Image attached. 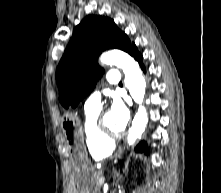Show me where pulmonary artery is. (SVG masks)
I'll return each mask as SVG.
<instances>
[{
	"label": "pulmonary artery",
	"instance_id": "pulmonary-artery-1",
	"mask_svg": "<svg viewBox=\"0 0 221 193\" xmlns=\"http://www.w3.org/2000/svg\"><path fill=\"white\" fill-rule=\"evenodd\" d=\"M107 81L111 85H118L120 82V73L118 70H110L106 75ZM85 112L99 111L101 108V94L99 91L93 92L86 100Z\"/></svg>",
	"mask_w": 221,
	"mask_h": 193
}]
</instances>
